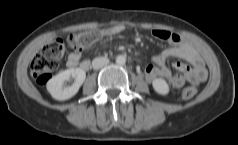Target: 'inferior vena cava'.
Instances as JSON below:
<instances>
[{"mask_svg":"<svg viewBox=\"0 0 238 145\" xmlns=\"http://www.w3.org/2000/svg\"><path fill=\"white\" fill-rule=\"evenodd\" d=\"M107 64H109V59L107 57H96L92 61V66H93V69H95V70H98V69L106 66Z\"/></svg>","mask_w":238,"mask_h":145,"instance_id":"inferior-vena-cava-1","label":"inferior vena cava"}]
</instances>
